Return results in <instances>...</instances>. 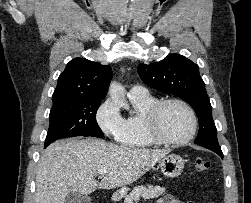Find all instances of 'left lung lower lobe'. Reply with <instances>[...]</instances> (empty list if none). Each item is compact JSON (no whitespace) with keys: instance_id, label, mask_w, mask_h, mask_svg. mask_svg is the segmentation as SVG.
<instances>
[{"instance_id":"0a47b994","label":"left lung lower lobe","mask_w":251,"mask_h":203,"mask_svg":"<svg viewBox=\"0 0 251 203\" xmlns=\"http://www.w3.org/2000/svg\"><path fill=\"white\" fill-rule=\"evenodd\" d=\"M212 151H214L215 153H217L221 158H223V153L221 151V148L220 149H210Z\"/></svg>"}]
</instances>
